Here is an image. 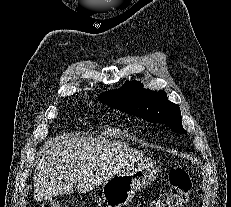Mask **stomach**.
<instances>
[{
    "mask_svg": "<svg viewBox=\"0 0 231 207\" xmlns=\"http://www.w3.org/2000/svg\"><path fill=\"white\" fill-rule=\"evenodd\" d=\"M158 167L155 161L143 159L117 172L102 185V198L107 207H124L136 192L155 178Z\"/></svg>",
    "mask_w": 231,
    "mask_h": 207,
    "instance_id": "1",
    "label": "stomach"
}]
</instances>
